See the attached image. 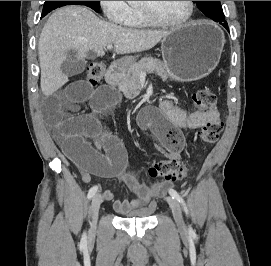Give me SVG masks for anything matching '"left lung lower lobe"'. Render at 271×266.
Listing matches in <instances>:
<instances>
[{
    "label": "left lung lower lobe",
    "instance_id": "1",
    "mask_svg": "<svg viewBox=\"0 0 271 266\" xmlns=\"http://www.w3.org/2000/svg\"><path fill=\"white\" fill-rule=\"evenodd\" d=\"M221 24L223 25V27H225L228 30V25H227L226 21L222 22Z\"/></svg>",
    "mask_w": 271,
    "mask_h": 266
}]
</instances>
